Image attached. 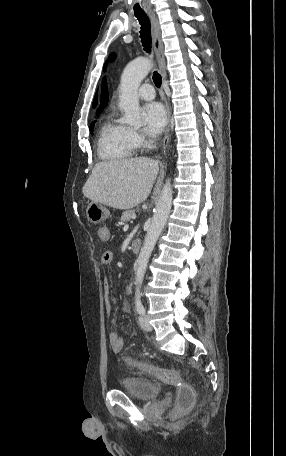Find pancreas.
<instances>
[{"label":"pancreas","instance_id":"cf45deb5","mask_svg":"<svg viewBox=\"0 0 286 456\" xmlns=\"http://www.w3.org/2000/svg\"><path fill=\"white\" fill-rule=\"evenodd\" d=\"M135 214L134 210H128L123 212L121 216V222H128L132 218V216Z\"/></svg>","mask_w":286,"mask_h":456}]
</instances>
